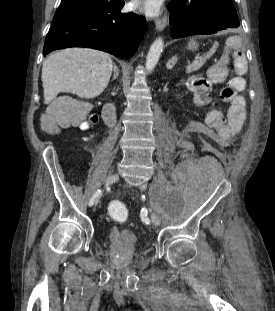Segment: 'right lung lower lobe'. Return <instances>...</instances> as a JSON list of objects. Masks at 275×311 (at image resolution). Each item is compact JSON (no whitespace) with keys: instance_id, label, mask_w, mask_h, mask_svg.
Segmentation results:
<instances>
[{"instance_id":"1","label":"right lung lower lobe","mask_w":275,"mask_h":311,"mask_svg":"<svg viewBox=\"0 0 275 311\" xmlns=\"http://www.w3.org/2000/svg\"><path fill=\"white\" fill-rule=\"evenodd\" d=\"M124 1L105 8L66 15L54 20L43 55L62 48L87 47L116 57L130 58L142 39L146 19L135 13H121Z\"/></svg>"}]
</instances>
